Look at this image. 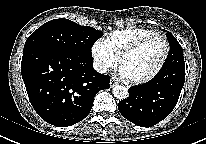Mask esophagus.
Segmentation results:
<instances>
[{
  "label": "esophagus",
  "mask_w": 206,
  "mask_h": 144,
  "mask_svg": "<svg viewBox=\"0 0 206 144\" xmlns=\"http://www.w3.org/2000/svg\"><path fill=\"white\" fill-rule=\"evenodd\" d=\"M118 83H117V81L115 80V79H111L110 80V87H114V86H116Z\"/></svg>",
  "instance_id": "34e87169"
}]
</instances>
